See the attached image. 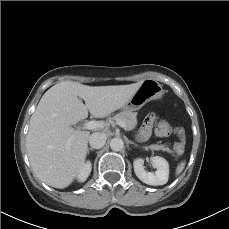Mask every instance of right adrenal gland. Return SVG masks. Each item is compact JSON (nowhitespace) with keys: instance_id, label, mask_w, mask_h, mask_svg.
<instances>
[{"instance_id":"right-adrenal-gland-1","label":"right adrenal gland","mask_w":229,"mask_h":229,"mask_svg":"<svg viewBox=\"0 0 229 229\" xmlns=\"http://www.w3.org/2000/svg\"><path fill=\"white\" fill-rule=\"evenodd\" d=\"M90 151H93V148H88L87 149V154H89Z\"/></svg>"}]
</instances>
